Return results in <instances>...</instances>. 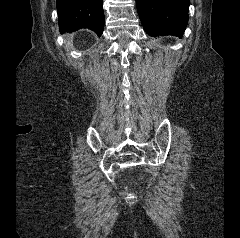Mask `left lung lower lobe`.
I'll return each instance as SVG.
<instances>
[{
  "mask_svg": "<svg viewBox=\"0 0 240 238\" xmlns=\"http://www.w3.org/2000/svg\"><path fill=\"white\" fill-rule=\"evenodd\" d=\"M190 0H136L146 33L152 37H182L188 22Z\"/></svg>",
  "mask_w": 240,
  "mask_h": 238,
  "instance_id": "0a47b994",
  "label": "left lung lower lobe"
}]
</instances>
